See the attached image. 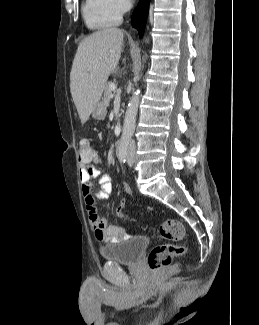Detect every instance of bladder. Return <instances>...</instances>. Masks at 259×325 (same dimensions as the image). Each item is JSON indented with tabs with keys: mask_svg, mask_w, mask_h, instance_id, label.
Returning a JSON list of instances; mask_svg holds the SVG:
<instances>
[{
	"mask_svg": "<svg viewBox=\"0 0 259 325\" xmlns=\"http://www.w3.org/2000/svg\"><path fill=\"white\" fill-rule=\"evenodd\" d=\"M149 243L150 240L146 236H134L128 240L101 247L100 254L107 261L133 265L139 261Z\"/></svg>",
	"mask_w": 259,
	"mask_h": 325,
	"instance_id": "1",
	"label": "bladder"
}]
</instances>
